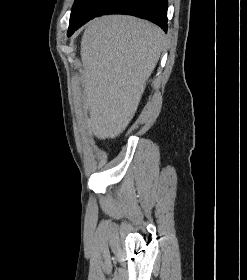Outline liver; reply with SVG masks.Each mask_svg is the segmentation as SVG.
<instances>
[{
  "instance_id": "liver-1",
  "label": "liver",
  "mask_w": 247,
  "mask_h": 280,
  "mask_svg": "<svg viewBox=\"0 0 247 280\" xmlns=\"http://www.w3.org/2000/svg\"><path fill=\"white\" fill-rule=\"evenodd\" d=\"M164 47L163 30L136 17L109 15L87 25L81 40L84 110L98 139H113L128 126Z\"/></svg>"
}]
</instances>
